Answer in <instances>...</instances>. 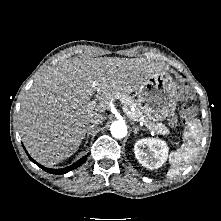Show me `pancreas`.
<instances>
[{"mask_svg": "<svg viewBox=\"0 0 221 221\" xmlns=\"http://www.w3.org/2000/svg\"><path fill=\"white\" fill-rule=\"evenodd\" d=\"M124 104L128 107H135V111L131 112V114L133 116L131 119H133L135 121H144L149 130L155 131L158 134H161V135L169 134V130L167 129V127L164 124H162V123L155 124L153 122L146 121L143 118L141 111L138 108H136V104L132 98L124 99Z\"/></svg>", "mask_w": 221, "mask_h": 221, "instance_id": "cf45deb5", "label": "pancreas"}]
</instances>
